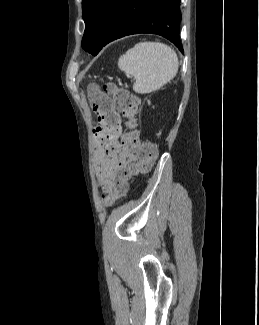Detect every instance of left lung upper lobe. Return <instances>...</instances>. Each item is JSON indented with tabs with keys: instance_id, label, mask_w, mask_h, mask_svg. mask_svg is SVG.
<instances>
[{
	"instance_id": "left-lung-upper-lobe-1",
	"label": "left lung upper lobe",
	"mask_w": 259,
	"mask_h": 325,
	"mask_svg": "<svg viewBox=\"0 0 259 325\" xmlns=\"http://www.w3.org/2000/svg\"><path fill=\"white\" fill-rule=\"evenodd\" d=\"M122 0H83L82 11L85 32L82 47L92 55L102 49L109 23Z\"/></svg>"
}]
</instances>
